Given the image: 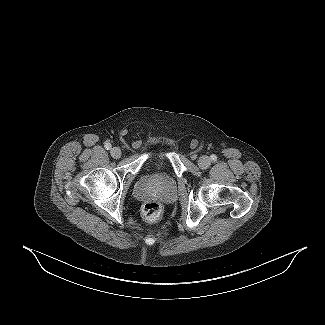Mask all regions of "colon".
Here are the masks:
<instances>
[{
	"label": "colon",
	"instance_id": "colon-1",
	"mask_svg": "<svg viewBox=\"0 0 325 325\" xmlns=\"http://www.w3.org/2000/svg\"><path fill=\"white\" fill-rule=\"evenodd\" d=\"M142 215L148 222H156L161 218L162 205L155 200L147 201L142 207Z\"/></svg>",
	"mask_w": 325,
	"mask_h": 325
}]
</instances>
